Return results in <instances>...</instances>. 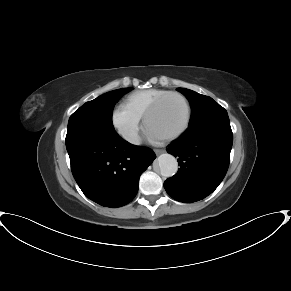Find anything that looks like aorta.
Listing matches in <instances>:
<instances>
[{"label": "aorta", "mask_w": 291, "mask_h": 291, "mask_svg": "<svg viewBox=\"0 0 291 291\" xmlns=\"http://www.w3.org/2000/svg\"><path fill=\"white\" fill-rule=\"evenodd\" d=\"M160 173L164 177H172L178 171V162L176 158L168 153L162 154L157 159Z\"/></svg>", "instance_id": "762f6f07"}]
</instances>
